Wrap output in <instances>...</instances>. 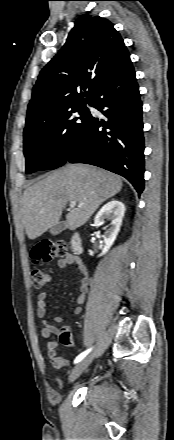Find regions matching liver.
<instances>
[{"label":"liver","instance_id":"obj_1","mask_svg":"<svg viewBox=\"0 0 174 440\" xmlns=\"http://www.w3.org/2000/svg\"><path fill=\"white\" fill-rule=\"evenodd\" d=\"M122 180L118 175L90 165H66L28 187L22 196L21 222L29 239L40 237L57 224L68 202L72 207L66 215L70 230L84 225L96 209L119 193Z\"/></svg>","mask_w":174,"mask_h":440}]
</instances>
